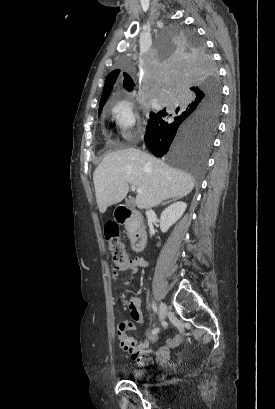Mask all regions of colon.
Wrapping results in <instances>:
<instances>
[{"mask_svg": "<svg viewBox=\"0 0 275 409\" xmlns=\"http://www.w3.org/2000/svg\"><path fill=\"white\" fill-rule=\"evenodd\" d=\"M104 231V239L107 240V243L110 246V251L112 252L115 258V264L113 265L117 270H126L127 266L131 263V258L129 256H125L124 254V245L119 240L121 235L120 227L115 222H108L103 227ZM130 306H140V302L137 298H130L127 300V307L128 310ZM184 342V335L179 334L174 338L169 340L170 347H177L182 345Z\"/></svg>", "mask_w": 275, "mask_h": 409, "instance_id": "colon-1", "label": "colon"}]
</instances>
